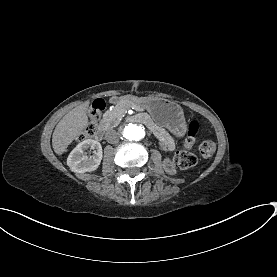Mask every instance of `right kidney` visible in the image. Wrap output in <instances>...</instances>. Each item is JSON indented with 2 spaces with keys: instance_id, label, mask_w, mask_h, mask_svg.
<instances>
[{
  "instance_id": "1",
  "label": "right kidney",
  "mask_w": 277,
  "mask_h": 277,
  "mask_svg": "<svg viewBox=\"0 0 277 277\" xmlns=\"http://www.w3.org/2000/svg\"><path fill=\"white\" fill-rule=\"evenodd\" d=\"M93 150L92 156H87V149ZM103 157L101 144L92 139H87L79 143L69 154L67 165L71 171L77 173L91 172L98 168Z\"/></svg>"
}]
</instances>
